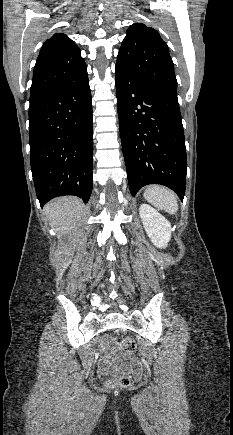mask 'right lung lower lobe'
<instances>
[{"label":"right lung lower lobe","instance_id":"98d812e1","mask_svg":"<svg viewBox=\"0 0 233 435\" xmlns=\"http://www.w3.org/2000/svg\"><path fill=\"white\" fill-rule=\"evenodd\" d=\"M31 170L41 206L54 197L84 202L93 185V118L85 72L49 95L30 102Z\"/></svg>","mask_w":233,"mask_h":435}]
</instances>
